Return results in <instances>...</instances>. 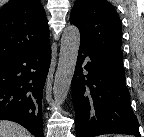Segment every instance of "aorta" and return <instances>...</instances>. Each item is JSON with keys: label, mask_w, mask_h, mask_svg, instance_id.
<instances>
[{"label": "aorta", "mask_w": 144, "mask_h": 137, "mask_svg": "<svg viewBox=\"0 0 144 137\" xmlns=\"http://www.w3.org/2000/svg\"><path fill=\"white\" fill-rule=\"evenodd\" d=\"M79 46V29L74 25L67 26L61 38L59 61L53 86L57 105H61L67 98L76 67Z\"/></svg>", "instance_id": "aorta-1"}]
</instances>
